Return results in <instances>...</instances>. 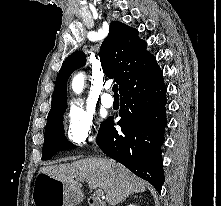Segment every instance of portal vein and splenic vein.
<instances>
[{
	"label": "portal vein and splenic vein",
	"instance_id": "portal-vein-and-splenic-vein-1",
	"mask_svg": "<svg viewBox=\"0 0 221 206\" xmlns=\"http://www.w3.org/2000/svg\"><path fill=\"white\" fill-rule=\"evenodd\" d=\"M91 187H93V186H91ZM95 194H96L97 197H102V198H104L103 191L100 190V189H96V190H95Z\"/></svg>",
	"mask_w": 221,
	"mask_h": 206
}]
</instances>
